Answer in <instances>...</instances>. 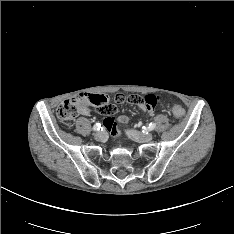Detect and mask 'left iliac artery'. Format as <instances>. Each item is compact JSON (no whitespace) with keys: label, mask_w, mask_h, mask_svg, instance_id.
I'll use <instances>...</instances> for the list:
<instances>
[{"label":"left iliac artery","mask_w":234,"mask_h":234,"mask_svg":"<svg viewBox=\"0 0 234 234\" xmlns=\"http://www.w3.org/2000/svg\"><path fill=\"white\" fill-rule=\"evenodd\" d=\"M156 127V124L155 123H150L147 127H142L143 128V133L146 132L147 130L148 131H152L154 130Z\"/></svg>","instance_id":"left-iliac-artery-1"}]
</instances>
